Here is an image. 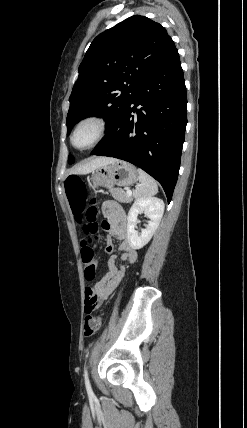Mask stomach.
<instances>
[{
  "label": "stomach",
  "mask_w": 247,
  "mask_h": 428,
  "mask_svg": "<svg viewBox=\"0 0 247 428\" xmlns=\"http://www.w3.org/2000/svg\"><path fill=\"white\" fill-rule=\"evenodd\" d=\"M138 180L136 167L128 162L117 160L92 171L89 181L93 187L112 188L114 185L129 186Z\"/></svg>",
  "instance_id": "stomach-1"
}]
</instances>
